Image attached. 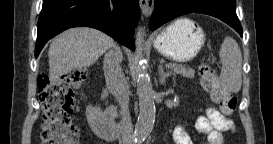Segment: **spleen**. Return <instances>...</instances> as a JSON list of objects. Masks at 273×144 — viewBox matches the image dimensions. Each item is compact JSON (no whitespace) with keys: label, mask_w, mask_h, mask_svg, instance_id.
<instances>
[{"label":"spleen","mask_w":273,"mask_h":144,"mask_svg":"<svg viewBox=\"0 0 273 144\" xmlns=\"http://www.w3.org/2000/svg\"><path fill=\"white\" fill-rule=\"evenodd\" d=\"M219 56L221 85L230 92H238L242 85V55L238 43L232 37H225Z\"/></svg>","instance_id":"1"}]
</instances>
